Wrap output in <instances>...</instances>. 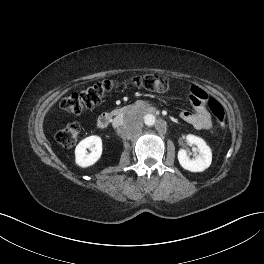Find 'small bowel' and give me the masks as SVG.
<instances>
[{
	"label": "small bowel",
	"mask_w": 264,
	"mask_h": 264,
	"mask_svg": "<svg viewBox=\"0 0 264 264\" xmlns=\"http://www.w3.org/2000/svg\"><path fill=\"white\" fill-rule=\"evenodd\" d=\"M207 94L201 88L192 86L189 91V100L193 111L184 110L180 118L199 130H207L211 127V116L207 109Z\"/></svg>",
	"instance_id": "1"
}]
</instances>
